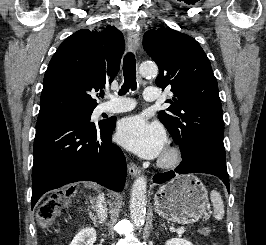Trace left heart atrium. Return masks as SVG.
Instances as JSON below:
<instances>
[{
	"instance_id": "1",
	"label": "left heart atrium",
	"mask_w": 266,
	"mask_h": 245,
	"mask_svg": "<svg viewBox=\"0 0 266 245\" xmlns=\"http://www.w3.org/2000/svg\"><path fill=\"white\" fill-rule=\"evenodd\" d=\"M117 137L122 145L145 158L159 156L166 142L162 128L140 116L123 119L118 125Z\"/></svg>"
}]
</instances>
